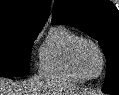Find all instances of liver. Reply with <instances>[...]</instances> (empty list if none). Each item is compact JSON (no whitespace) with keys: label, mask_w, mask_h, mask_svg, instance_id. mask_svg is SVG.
Returning <instances> with one entry per match:
<instances>
[{"label":"liver","mask_w":119,"mask_h":95,"mask_svg":"<svg viewBox=\"0 0 119 95\" xmlns=\"http://www.w3.org/2000/svg\"><path fill=\"white\" fill-rule=\"evenodd\" d=\"M76 87L65 82H47L42 76H35L26 82H14L0 78V95H69Z\"/></svg>","instance_id":"1"}]
</instances>
